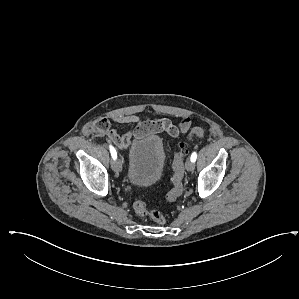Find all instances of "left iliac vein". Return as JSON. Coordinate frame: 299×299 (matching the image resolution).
Masks as SVG:
<instances>
[{"mask_svg":"<svg viewBox=\"0 0 299 299\" xmlns=\"http://www.w3.org/2000/svg\"><path fill=\"white\" fill-rule=\"evenodd\" d=\"M185 168L187 171H193L194 170V162H192L191 160H188L185 164Z\"/></svg>","mask_w":299,"mask_h":299,"instance_id":"4c4485c4","label":"left iliac vein"}]
</instances>
